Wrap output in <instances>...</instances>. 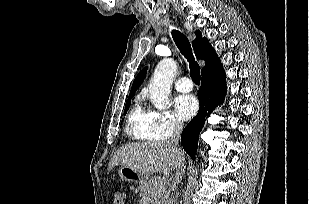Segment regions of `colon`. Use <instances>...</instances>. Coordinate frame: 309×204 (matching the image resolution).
<instances>
[{
  "instance_id": "obj_1",
  "label": "colon",
  "mask_w": 309,
  "mask_h": 204,
  "mask_svg": "<svg viewBox=\"0 0 309 204\" xmlns=\"http://www.w3.org/2000/svg\"><path fill=\"white\" fill-rule=\"evenodd\" d=\"M114 204H124L125 202V193L122 191H116L114 193Z\"/></svg>"
}]
</instances>
